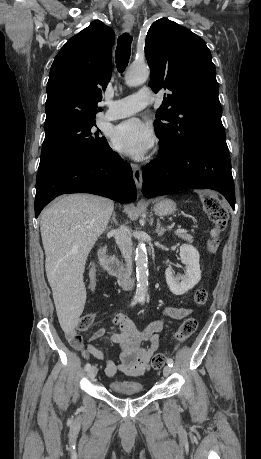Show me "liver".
Here are the masks:
<instances>
[{"instance_id": "liver-1", "label": "liver", "mask_w": 261, "mask_h": 459, "mask_svg": "<svg viewBox=\"0 0 261 459\" xmlns=\"http://www.w3.org/2000/svg\"><path fill=\"white\" fill-rule=\"evenodd\" d=\"M114 211L112 200L91 194L59 198L41 215L45 269L59 323L70 333L86 301L83 273L87 257Z\"/></svg>"}]
</instances>
